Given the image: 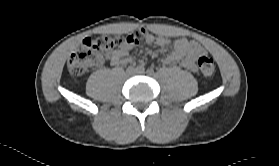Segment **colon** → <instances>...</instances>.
I'll return each mask as SVG.
<instances>
[{
    "label": "colon",
    "instance_id": "colon-1",
    "mask_svg": "<svg viewBox=\"0 0 279 166\" xmlns=\"http://www.w3.org/2000/svg\"><path fill=\"white\" fill-rule=\"evenodd\" d=\"M134 39L135 37L131 34L127 36L86 38L80 47L71 54L68 60L69 71L75 76H82L91 68L121 51ZM198 67L204 76H211L215 72L216 63L212 57L202 55L198 59Z\"/></svg>",
    "mask_w": 279,
    "mask_h": 166
}]
</instances>
